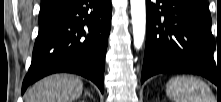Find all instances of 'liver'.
Segmentation results:
<instances>
[{
    "mask_svg": "<svg viewBox=\"0 0 221 102\" xmlns=\"http://www.w3.org/2000/svg\"><path fill=\"white\" fill-rule=\"evenodd\" d=\"M83 91V83L71 74H55L37 82L26 94L25 102H74Z\"/></svg>",
    "mask_w": 221,
    "mask_h": 102,
    "instance_id": "1",
    "label": "liver"
}]
</instances>
